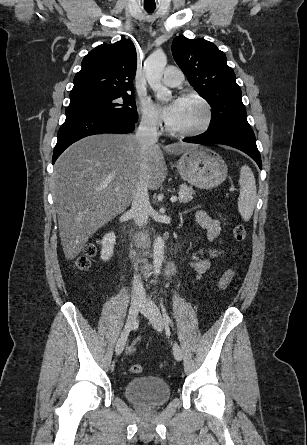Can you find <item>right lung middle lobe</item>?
I'll list each match as a JSON object with an SVG mask.
<instances>
[{"label":"right lung middle lobe","instance_id":"1","mask_svg":"<svg viewBox=\"0 0 307 445\" xmlns=\"http://www.w3.org/2000/svg\"><path fill=\"white\" fill-rule=\"evenodd\" d=\"M80 113H105L128 119H138L134 97L127 93L70 98L66 116Z\"/></svg>","mask_w":307,"mask_h":445}]
</instances>
